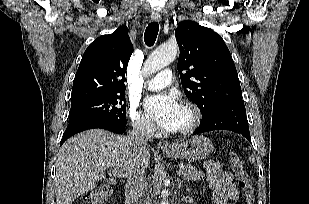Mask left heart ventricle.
<instances>
[{
  "instance_id": "obj_1",
  "label": "left heart ventricle",
  "mask_w": 309,
  "mask_h": 204,
  "mask_svg": "<svg viewBox=\"0 0 309 204\" xmlns=\"http://www.w3.org/2000/svg\"><path fill=\"white\" fill-rule=\"evenodd\" d=\"M190 119H191L190 113L186 109L181 107L179 115L177 117V121H176V125H175L174 130L180 129V128L186 126L190 122Z\"/></svg>"
}]
</instances>
